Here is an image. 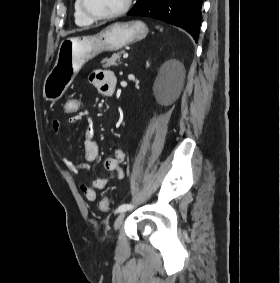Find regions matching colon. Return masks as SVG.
I'll return each instance as SVG.
<instances>
[{
    "instance_id": "1",
    "label": "colon",
    "mask_w": 280,
    "mask_h": 283,
    "mask_svg": "<svg viewBox=\"0 0 280 283\" xmlns=\"http://www.w3.org/2000/svg\"><path fill=\"white\" fill-rule=\"evenodd\" d=\"M80 104V97H67V99H64V107H61V112H63L64 116H71L72 112H81L82 108L80 107ZM99 207L102 212H107L110 207L109 200L103 198L100 201Z\"/></svg>"
}]
</instances>
